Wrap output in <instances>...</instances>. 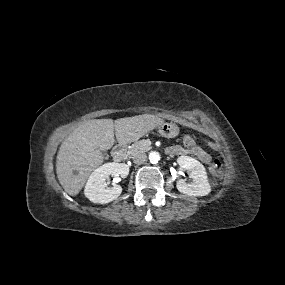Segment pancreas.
<instances>
[{
  "instance_id": "obj_1",
  "label": "pancreas",
  "mask_w": 285,
  "mask_h": 285,
  "mask_svg": "<svg viewBox=\"0 0 285 285\" xmlns=\"http://www.w3.org/2000/svg\"><path fill=\"white\" fill-rule=\"evenodd\" d=\"M150 148L151 147H150V145L147 144L146 140H140V141L133 143L129 147L128 154H129V156L133 157L137 153L146 152V151L150 150Z\"/></svg>"
}]
</instances>
